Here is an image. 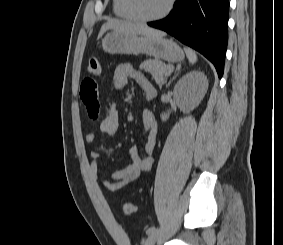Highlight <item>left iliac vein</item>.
<instances>
[{"label": "left iliac vein", "instance_id": "left-iliac-vein-1", "mask_svg": "<svg viewBox=\"0 0 283 245\" xmlns=\"http://www.w3.org/2000/svg\"><path fill=\"white\" fill-rule=\"evenodd\" d=\"M160 236V232L156 231L153 234L149 235L145 240L144 245H154Z\"/></svg>", "mask_w": 283, "mask_h": 245}]
</instances>
